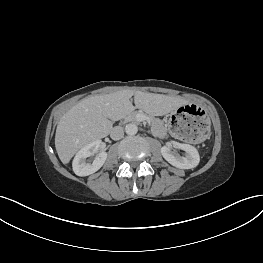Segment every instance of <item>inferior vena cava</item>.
Here are the masks:
<instances>
[{
    "label": "inferior vena cava",
    "mask_w": 263,
    "mask_h": 263,
    "mask_svg": "<svg viewBox=\"0 0 263 263\" xmlns=\"http://www.w3.org/2000/svg\"><path fill=\"white\" fill-rule=\"evenodd\" d=\"M124 136V130L121 126H116L114 128H112L111 132H110V137L113 140H119Z\"/></svg>",
    "instance_id": "inferior-vena-cava-1"
}]
</instances>
